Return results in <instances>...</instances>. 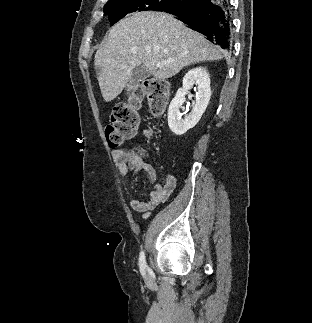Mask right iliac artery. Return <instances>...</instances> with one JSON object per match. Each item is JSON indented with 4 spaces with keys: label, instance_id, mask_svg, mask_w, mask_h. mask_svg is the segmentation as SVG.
Returning <instances> with one entry per match:
<instances>
[{
    "label": "right iliac artery",
    "instance_id": "obj_1",
    "mask_svg": "<svg viewBox=\"0 0 312 323\" xmlns=\"http://www.w3.org/2000/svg\"><path fill=\"white\" fill-rule=\"evenodd\" d=\"M146 260H145V255H144V252L142 251L140 253V258H139V267H140V271L141 272H144L145 271V268H146Z\"/></svg>",
    "mask_w": 312,
    "mask_h": 323
}]
</instances>
